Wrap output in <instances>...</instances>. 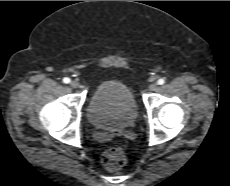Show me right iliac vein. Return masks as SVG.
I'll return each instance as SVG.
<instances>
[{
    "label": "right iliac vein",
    "mask_w": 230,
    "mask_h": 186,
    "mask_svg": "<svg viewBox=\"0 0 230 186\" xmlns=\"http://www.w3.org/2000/svg\"><path fill=\"white\" fill-rule=\"evenodd\" d=\"M70 85H71L72 88H78V87L80 86L79 83H78L77 81H72V82L70 83Z\"/></svg>",
    "instance_id": "1"
}]
</instances>
